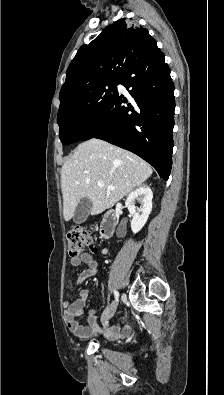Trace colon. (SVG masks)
Returning <instances> with one entry per match:
<instances>
[{"instance_id":"colon-1","label":"colon","mask_w":224,"mask_h":395,"mask_svg":"<svg viewBox=\"0 0 224 395\" xmlns=\"http://www.w3.org/2000/svg\"><path fill=\"white\" fill-rule=\"evenodd\" d=\"M94 237L92 232L86 228H76L68 232L66 246L69 256L77 258L85 247L92 246Z\"/></svg>"}]
</instances>
